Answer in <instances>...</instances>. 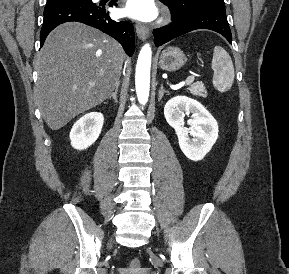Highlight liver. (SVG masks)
I'll return each mask as SVG.
<instances>
[{
  "label": "liver",
  "instance_id": "obj_1",
  "mask_svg": "<svg viewBox=\"0 0 289 274\" xmlns=\"http://www.w3.org/2000/svg\"><path fill=\"white\" fill-rule=\"evenodd\" d=\"M123 51L112 38L80 23H65L47 37L38 54L34 90L52 130L106 100L119 82Z\"/></svg>",
  "mask_w": 289,
  "mask_h": 274
}]
</instances>
